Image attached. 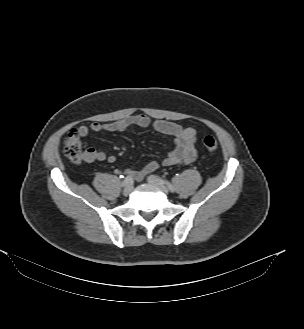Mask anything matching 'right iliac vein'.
Returning <instances> with one entry per match:
<instances>
[{"label":"right iliac vein","mask_w":304,"mask_h":329,"mask_svg":"<svg viewBox=\"0 0 304 329\" xmlns=\"http://www.w3.org/2000/svg\"><path fill=\"white\" fill-rule=\"evenodd\" d=\"M132 188H133V187H132L131 184L126 185V186L124 187V189H123V194H124V196H128V195L131 193Z\"/></svg>","instance_id":"63e3f726"}]
</instances>
